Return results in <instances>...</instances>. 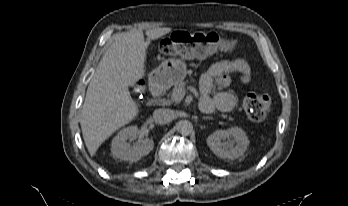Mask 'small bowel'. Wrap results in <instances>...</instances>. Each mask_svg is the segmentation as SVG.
<instances>
[{"mask_svg": "<svg viewBox=\"0 0 348 206\" xmlns=\"http://www.w3.org/2000/svg\"><path fill=\"white\" fill-rule=\"evenodd\" d=\"M238 76L242 84L248 83L251 69L242 58H225L212 64L202 75L200 80V108L205 113L215 108L229 112L236 104L235 95L228 90H221L215 96L211 92L215 87L224 89L231 85L232 77Z\"/></svg>", "mask_w": 348, "mask_h": 206, "instance_id": "obj_1", "label": "small bowel"}]
</instances>
